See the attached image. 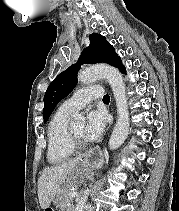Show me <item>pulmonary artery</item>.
Masks as SVG:
<instances>
[{"mask_svg":"<svg viewBox=\"0 0 179 211\" xmlns=\"http://www.w3.org/2000/svg\"><path fill=\"white\" fill-rule=\"evenodd\" d=\"M104 96V90L99 85L86 86L75 92L69 99L64 101L60 108L66 112L74 113L92 100Z\"/></svg>","mask_w":179,"mask_h":211,"instance_id":"obj_1","label":"pulmonary artery"}]
</instances>
